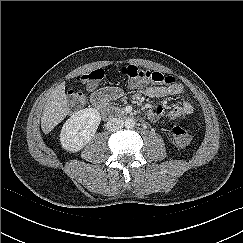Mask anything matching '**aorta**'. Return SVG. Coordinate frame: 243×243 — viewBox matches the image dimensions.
Here are the masks:
<instances>
[{"mask_svg": "<svg viewBox=\"0 0 243 243\" xmlns=\"http://www.w3.org/2000/svg\"><path fill=\"white\" fill-rule=\"evenodd\" d=\"M135 124H136L135 121L131 118H128L125 121V127L128 128V129L134 128Z\"/></svg>", "mask_w": 243, "mask_h": 243, "instance_id": "1", "label": "aorta"}]
</instances>
